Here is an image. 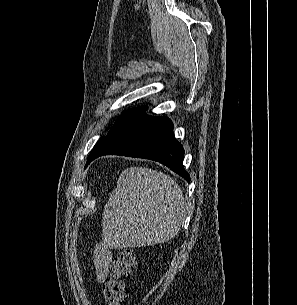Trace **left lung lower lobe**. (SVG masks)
Instances as JSON below:
<instances>
[{"label":"left lung lower lobe","instance_id":"obj_1","mask_svg":"<svg viewBox=\"0 0 297 305\" xmlns=\"http://www.w3.org/2000/svg\"><path fill=\"white\" fill-rule=\"evenodd\" d=\"M146 109L137 107L121 113L87 164L109 154L146 158L166 165L189 183L190 176L182 164L184 149L174 137L173 123L167 117L145 114Z\"/></svg>","mask_w":297,"mask_h":305}]
</instances>
